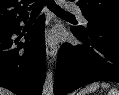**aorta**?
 Wrapping results in <instances>:
<instances>
[{
    "instance_id": "aorta-1",
    "label": "aorta",
    "mask_w": 119,
    "mask_h": 95,
    "mask_svg": "<svg viewBox=\"0 0 119 95\" xmlns=\"http://www.w3.org/2000/svg\"><path fill=\"white\" fill-rule=\"evenodd\" d=\"M54 94V75L53 71L48 70L43 85L42 95H53Z\"/></svg>"
}]
</instances>
